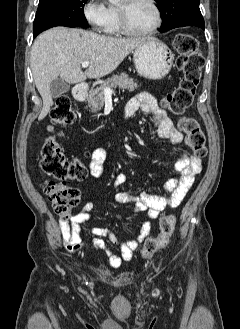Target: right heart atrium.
I'll use <instances>...</instances> for the list:
<instances>
[{
    "instance_id": "d8ad5b80",
    "label": "right heart atrium",
    "mask_w": 240,
    "mask_h": 329,
    "mask_svg": "<svg viewBox=\"0 0 240 329\" xmlns=\"http://www.w3.org/2000/svg\"><path fill=\"white\" fill-rule=\"evenodd\" d=\"M83 14L94 30L100 31L104 28L108 13L102 0H87L83 6Z\"/></svg>"
}]
</instances>
